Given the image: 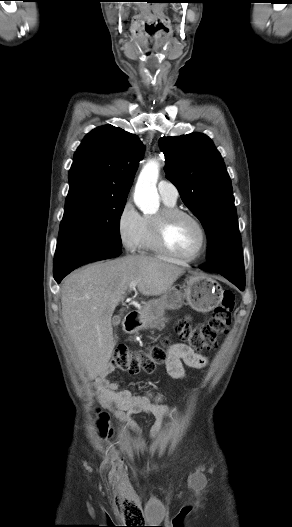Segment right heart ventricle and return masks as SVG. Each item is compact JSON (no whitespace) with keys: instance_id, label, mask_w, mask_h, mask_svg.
<instances>
[{"instance_id":"obj_1","label":"right heart ventricle","mask_w":292,"mask_h":527,"mask_svg":"<svg viewBox=\"0 0 292 527\" xmlns=\"http://www.w3.org/2000/svg\"><path fill=\"white\" fill-rule=\"evenodd\" d=\"M164 206L166 208H174L176 202H171L166 199H163ZM137 249L142 253H153L160 254L161 252L157 249L151 230V217L144 216L142 217V226L139 233Z\"/></svg>"}]
</instances>
